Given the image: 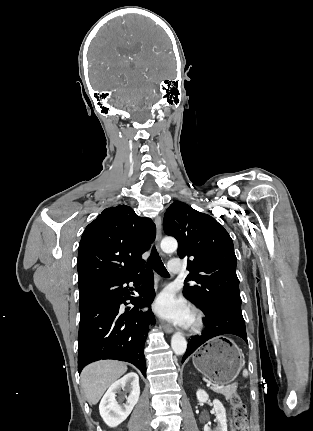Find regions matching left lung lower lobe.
Instances as JSON below:
<instances>
[{"label":"left lung lower lobe","mask_w":313,"mask_h":431,"mask_svg":"<svg viewBox=\"0 0 313 431\" xmlns=\"http://www.w3.org/2000/svg\"><path fill=\"white\" fill-rule=\"evenodd\" d=\"M202 311L206 316L204 319L206 329L201 336L191 337L183 362L199 346L215 336L233 334L241 337L248 344L241 306L218 305Z\"/></svg>","instance_id":"1"}]
</instances>
